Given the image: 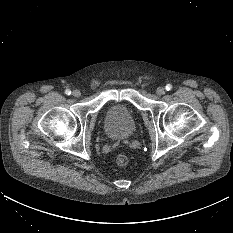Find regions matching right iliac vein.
Segmentation results:
<instances>
[{"instance_id": "right-iliac-vein-1", "label": "right iliac vein", "mask_w": 233, "mask_h": 233, "mask_svg": "<svg viewBox=\"0 0 233 233\" xmlns=\"http://www.w3.org/2000/svg\"><path fill=\"white\" fill-rule=\"evenodd\" d=\"M72 95L74 96V97H79L80 95H81V92L79 91V90H73V92H72Z\"/></svg>"}]
</instances>
